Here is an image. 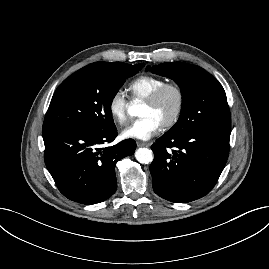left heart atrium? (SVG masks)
I'll return each mask as SVG.
<instances>
[{
	"label": "left heart atrium",
	"mask_w": 269,
	"mask_h": 269,
	"mask_svg": "<svg viewBox=\"0 0 269 269\" xmlns=\"http://www.w3.org/2000/svg\"><path fill=\"white\" fill-rule=\"evenodd\" d=\"M162 125L153 116L147 115L132 121L121 135L126 139L148 140L160 131Z\"/></svg>",
	"instance_id": "1"
}]
</instances>
